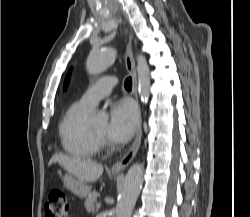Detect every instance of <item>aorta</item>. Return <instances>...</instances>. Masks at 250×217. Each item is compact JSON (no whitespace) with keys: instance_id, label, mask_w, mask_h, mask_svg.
<instances>
[{"instance_id":"obj_1","label":"aorta","mask_w":250,"mask_h":217,"mask_svg":"<svg viewBox=\"0 0 250 217\" xmlns=\"http://www.w3.org/2000/svg\"><path fill=\"white\" fill-rule=\"evenodd\" d=\"M115 57L116 51L114 49L92 52L86 62L88 72L95 75L105 71ZM137 73L139 96L143 102H147L150 95V70L146 59L142 55L137 56ZM103 116V113H98L96 118L100 119ZM142 184L143 167L141 164H134L125 176L123 188L116 205V217H131Z\"/></svg>"}]
</instances>
